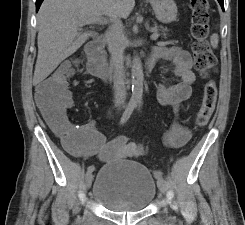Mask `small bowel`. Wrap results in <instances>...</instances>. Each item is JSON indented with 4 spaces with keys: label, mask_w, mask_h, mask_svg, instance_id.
I'll return each instance as SVG.
<instances>
[{
    "label": "small bowel",
    "mask_w": 245,
    "mask_h": 225,
    "mask_svg": "<svg viewBox=\"0 0 245 225\" xmlns=\"http://www.w3.org/2000/svg\"><path fill=\"white\" fill-rule=\"evenodd\" d=\"M154 52L158 58H164L172 63L173 74L179 79V82L172 86L161 85L157 92V101L161 105L173 106L176 111L190 97L192 84L196 76L192 70L191 55L179 47H155ZM71 66L69 61L60 63L59 70H67ZM37 101L43 114H51L41 104L39 86L36 92ZM73 107L72 92L69 90V97L63 111H68ZM55 121L62 127H71L76 130L72 135L73 146L71 153L76 157L89 158L96 156L99 161L107 163L122 159H136L143 155L144 148L139 142L129 141L127 137L116 136L109 140L100 132L94 122L77 123L66 121L60 114H52ZM190 138L189 128L175 120L167 134L166 143L172 148L184 146Z\"/></svg>",
    "instance_id": "obj_1"
}]
</instances>
